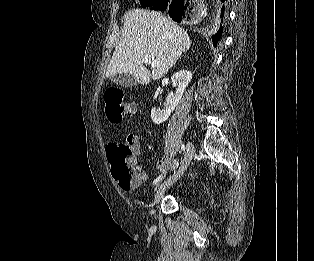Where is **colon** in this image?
Here are the masks:
<instances>
[{"mask_svg": "<svg viewBox=\"0 0 314 261\" xmlns=\"http://www.w3.org/2000/svg\"><path fill=\"white\" fill-rule=\"evenodd\" d=\"M104 101L106 116L112 123H119L134 112V105L127 100L126 93L121 88L107 89ZM135 150V142L130 137L106 147L112 175L124 190L135 188L141 182V176L136 172L132 159Z\"/></svg>", "mask_w": 314, "mask_h": 261, "instance_id": "colon-1", "label": "colon"}]
</instances>
